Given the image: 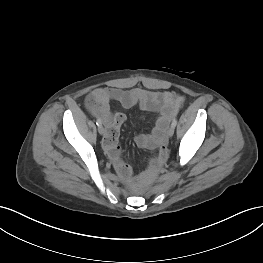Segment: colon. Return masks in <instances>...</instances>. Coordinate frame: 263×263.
<instances>
[{"mask_svg":"<svg viewBox=\"0 0 263 263\" xmlns=\"http://www.w3.org/2000/svg\"><path fill=\"white\" fill-rule=\"evenodd\" d=\"M88 104L91 108L96 109V110L102 107V104L98 100L91 98V97L88 98Z\"/></svg>","mask_w":263,"mask_h":263,"instance_id":"1","label":"colon"}]
</instances>
